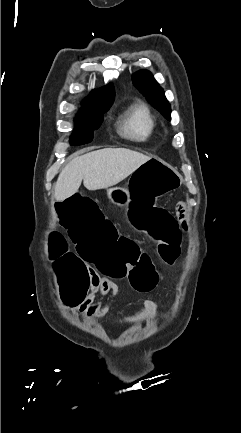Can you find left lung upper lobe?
Here are the masks:
<instances>
[{"mask_svg":"<svg viewBox=\"0 0 241 433\" xmlns=\"http://www.w3.org/2000/svg\"><path fill=\"white\" fill-rule=\"evenodd\" d=\"M138 90L147 98V100L157 108L167 119H171V107L168 103L163 89L153 78L149 71L142 70L133 75L132 78Z\"/></svg>","mask_w":241,"mask_h":433,"instance_id":"left-lung-upper-lobe-1","label":"left lung upper lobe"}]
</instances>
